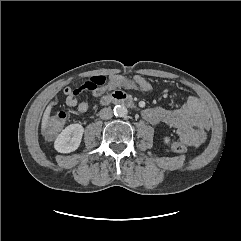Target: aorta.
Returning a JSON list of instances; mask_svg holds the SVG:
<instances>
[{
    "label": "aorta",
    "mask_w": 241,
    "mask_h": 241,
    "mask_svg": "<svg viewBox=\"0 0 241 241\" xmlns=\"http://www.w3.org/2000/svg\"><path fill=\"white\" fill-rule=\"evenodd\" d=\"M114 114L119 117H125L128 114V110L123 105H117L114 107Z\"/></svg>",
    "instance_id": "1"
}]
</instances>
